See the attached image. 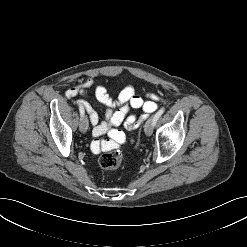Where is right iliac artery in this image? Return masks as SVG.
Listing matches in <instances>:
<instances>
[{"mask_svg":"<svg viewBox=\"0 0 247 247\" xmlns=\"http://www.w3.org/2000/svg\"><path fill=\"white\" fill-rule=\"evenodd\" d=\"M79 111H80V116L83 117L84 116V109L82 107H79Z\"/></svg>","mask_w":247,"mask_h":247,"instance_id":"1","label":"right iliac artery"}]
</instances>
